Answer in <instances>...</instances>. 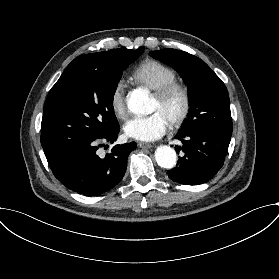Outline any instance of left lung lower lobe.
<instances>
[{
	"label": "left lung lower lobe",
	"mask_w": 279,
	"mask_h": 279,
	"mask_svg": "<svg viewBox=\"0 0 279 279\" xmlns=\"http://www.w3.org/2000/svg\"><path fill=\"white\" fill-rule=\"evenodd\" d=\"M231 135L230 131L211 127L178 132L175 138L181 140L183 146L175 149L178 153L182 149L184 156L167 172L168 177L185 185L207 182L223 166Z\"/></svg>",
	"instance_id": "1"
}]
</instances>
